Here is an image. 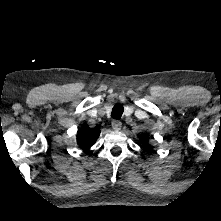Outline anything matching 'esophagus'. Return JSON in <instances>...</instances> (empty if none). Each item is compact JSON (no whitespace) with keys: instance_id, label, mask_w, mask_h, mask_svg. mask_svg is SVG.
Wrapping results in <instances>:
<instances>
[{"instance_id":"esophagus-1","label":"esophagus","mask_w":221,"mask_h":221,"mask_svg":"<svg viewBox=\"0 0 221 221\" xmlns=\"http://www.w3.org/2000/svg\"><path fill=\"white\" fill-rule=\"evenodd\" d=\"M112 127H113L114 130L118 131V130L121 129L122 123L118 120H113L112 121Z\"/></svg>"}]
</instances>
